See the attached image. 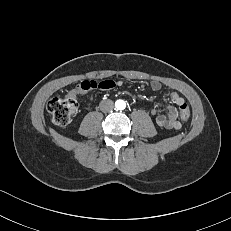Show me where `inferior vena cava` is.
Segmentation results:
<instances>
[{"label": "inferior vena cava", "instance_id": "inferior-vena-cava-1", "mask_svg": "<svg viewBox=\"0 0 231 231\" xmlns=\"http://www.w3.org/2000/svg\"><path fill=\"white\" fill-rule=\"evenodd\" d=\"M99 106H100V110L102 112L106 113V112H109V111L113 110L114 103H113L112 100L108 99V100L101 101Z\"/></svg>", "mask_w": 231, "mask_h": 231}]
</instances>
